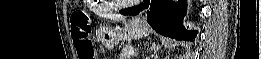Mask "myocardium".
Listing matches in <instances>:
<instances>
[{"mask_svg":"<svg viewBox=\"0 0 261 59\" xmlns=\"http://www.w3.org/2000/svg\"><path fill=\"white\" fill-rule=\"evenodd\" d=\"M110 4L112 6V8L114 9H122V8H125V7H128L129 4L128 3H118V2H115V1H110Z\"/></svg>","mask_w":261,"mask_h":59,"instance_id":"1","label":"myocardium"}]
</instances>
